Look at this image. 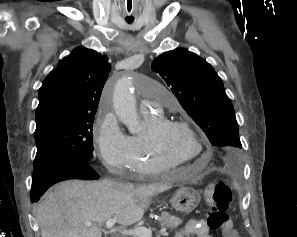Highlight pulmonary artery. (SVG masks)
<instances>
[{"label": "pulmonary artery", "mask_w": 297, "mask_h": 237, "mask_svg": "<svg viewBox=\"0 0 297 237\" xmlns=\"http://www.w3.org/2000/svg\"><path fill=\"white\" fill-rule=\"evenodd\" d=\"M151 107L152 108L166 107L170 109H175L177 107V101L173 97V95L169 92H165L164 94L156 93L153 99L149 100L147 103H144L141 106V111L147 112Z\"/></svg>", "instance_id": "obj_1"}]
</instances>
